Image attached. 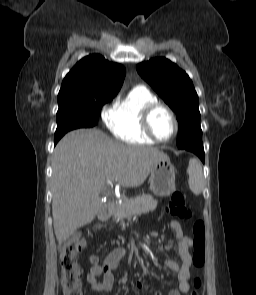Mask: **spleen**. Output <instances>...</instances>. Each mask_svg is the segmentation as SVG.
<instances>
[{
    "label": "spleen",
    "instance_id": "1",
    "mask_svg": "<svg viewBox=\"0 0 256 295\" xmlns=\"http://www.w3.org/2000/svg\"><path fill=\"white\" fill-rule=\"evenodd\" d=\"M189 187L195 195H199L204 187V179L201 164L196 160H191L188 166Z\"/></svg>",
    "mask_w": 256,
    "mask_h": 295
}]
</instances>
